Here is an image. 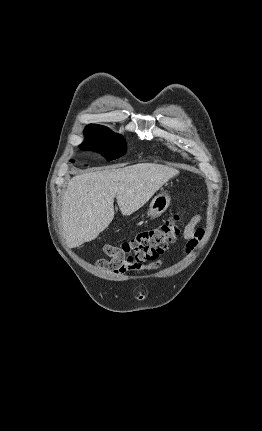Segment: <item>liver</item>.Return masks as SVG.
I'll return each instance as SVG.
<instances>
[{"label":"liver","instance_id":"6515ba94","mask_svg":"<svg viewBox=\"0 0 262 431\" xmlns=\"http://www.w3.org/2000/svg\"><path fill=\"white\" fill-rule=\"evenodd\" d=\"M178 174L165 165L138 163L73 177L62 201L67 245L75 248L97 238L114 218L115 197L122 215H131Z\"/></svg>","mask_w":262,"mask_h":431}]
</instances>
